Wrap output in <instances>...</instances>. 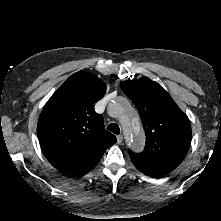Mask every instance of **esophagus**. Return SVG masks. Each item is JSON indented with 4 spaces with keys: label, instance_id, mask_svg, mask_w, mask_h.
<instances>
[{
    "label": "esophagus",
    "instance_id": "obj_1",
    "mask_svg": "<svg viewBox=\"0 0 221 221\" xmlns=\"http://www.w3.org/2000/svg\"><path fill=\"white\" fill-rule=\"evenodd\" d=\"M122 141H123V136L120 134V135L117 136V143L121 144Z\"/></svg>",
    "mask_w": 221,
    "mask_h": 221
}]
</instances>
